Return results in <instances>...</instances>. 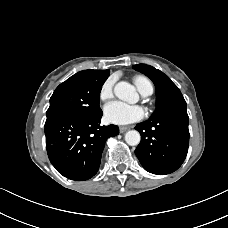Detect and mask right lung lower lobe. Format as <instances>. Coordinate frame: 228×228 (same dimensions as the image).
Returning a JSON list of instances; mask_svg holds the SVG:
<instances>
[{"label": "right lung lower lobe", "instance_id": "98d812e1", "mask_svg": "<svg viewBox=\"0 0 228 228\" xmlns=\"http://www.w3.org/2000/svg\"><path fill=\"white\" fill-rule=\"evenodd\" d=\"M101 113L93 117L58 116L45 123L50 162L63 176L77 181L94 176L100 166L105 142L116 136V125L100 126Z\"/></svg>", "mask_w": 228, "mask_h": 228}]
</instances>
